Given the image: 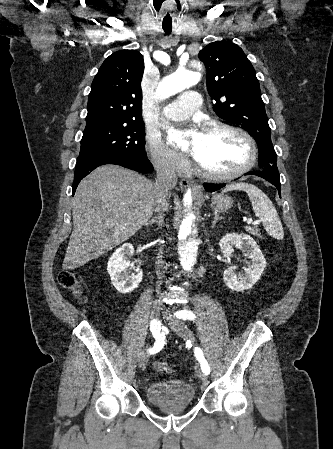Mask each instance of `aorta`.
Returning <instances> with one entry per match:
<instances>
[{
  "label": "aorta",
  "instance_id": "762f6f07",
  "mask_svg": "<svg viewBox=\"0 0 333 449\" xmlns=\"http://www.w3.org/2000/svg\"><path fill=\"white\" fill-rule=\"evenodd\" d=\"M203 64L196 58H190L186 63V69L176 71L166 76L156 88V98L166 99L199 82L198 73ZM201 195V186L188 189L184 195V201L189 204L192 197ZM176 238L178 241V253L180 264L184 270H191L197 262L198 254V229L192 216L188 214L177 227Z\"/></svg>",
  "mask_w": 333,
  "mask_h": 449
}]
</instances>
